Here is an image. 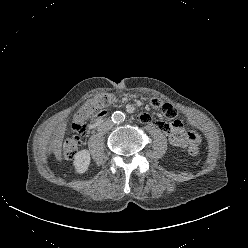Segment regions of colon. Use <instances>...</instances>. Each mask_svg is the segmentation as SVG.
Instances as JSON below:
<instances>
[{"label":"colon","instance_id":"colon-1","mask_svg":"<svg viewBox=\"0 0 248 248\" xmlns=\"http://www.w3.org/2000/svg\"><path fill=\"white\" fill-rule=\"evenodd\" d=\"M113 100L114 99L111 94H102L81 106L72 123V128L77 133V135L68 138L62 146V154L66 160H70L81 145L80 136L87 132V125L85 120L93 113H101L106 107L112 104ZM200 142V135L197 132H194L192 136V142L188 147V153L190 155L197 156L200 154Z\"/></svg>","mask_w":248,"mask_h":248}]
</instances>
